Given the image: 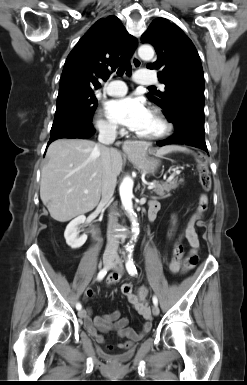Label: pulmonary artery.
Masks as SVG:
<instances>
[{"label": "pulmonary artery", "mask_w": 247, "mask_h": 385, "mask_svg": "<svg viewBox=\"0 0 247 385\" xmlns=\"http://www.w3.org/2000/svg\"><path fill=\"white\" fill-rule=\"evenodd\" d=\"M134 80L139 84H156L157 78L148 70H140L135 76ZM107 94L111 96H121L127 92V86L123 81L114 80L107 84L105 87Z\"/></svg>", "instance_id": "pulmonary-artery-1"}]
</instances>
